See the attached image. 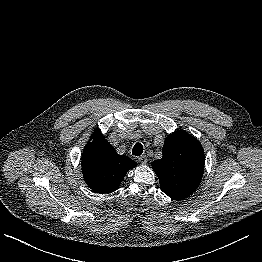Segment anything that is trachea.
I'll use <instances>...</instances> for the list:
<instances>
[{
    "instance_id": "3493384b",
    "label": "trachea",
    "mask_w": 262,
    "mask_h": 262,
    "mask_svg": "<svg viewBox=\"0 0 262 262\" xmlns=\"http://www.w3.org/2000/svg\"><path fill=\"white\" fill-rule=\"evenodd\" d=\"M143 153V146L141 143H136L132 149V154L135 156H140Z\"/></svg>"
}]
</instances>
